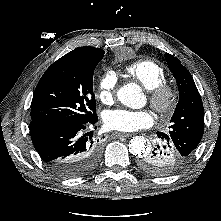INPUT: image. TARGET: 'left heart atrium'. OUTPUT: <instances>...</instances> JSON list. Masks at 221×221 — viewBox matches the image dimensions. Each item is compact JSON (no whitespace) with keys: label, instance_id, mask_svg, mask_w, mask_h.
Masks as SVG:
<instances>
[{"label":"left heart atrium","instance_id":"obj_1","mask_svg":"<svg viewBox=\"0 0 221 221\" xmlns=\"http://www.w3.org/2000/svg\"><path fill=\"white\" fill-rule=\"evenodd\" d=\"M103 121L110 130L133 132L150 126L153 117L148 110L118 108L107 110L103 115Z\"/></svg>","mask_w":221,"mask_h":221}]
</instances>
